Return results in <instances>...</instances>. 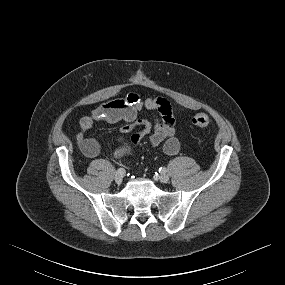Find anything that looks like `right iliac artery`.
<instances>
[{"instance_id":"right-iliac-artery-1","label":"right iliac artery","mask_w":285,"mask_h":285,"mask_svg":"<svg viewBox=\"0 0 285 285\" xmlns=\"http://www.w3.org/2000/svg\"><path fill=\"white\" fill-rule=\"evenodd\" d=\"M117 173H119V174H124L125 173V169L124 168H119L118 170H117Z\"/></svg>"}]
</instances>
